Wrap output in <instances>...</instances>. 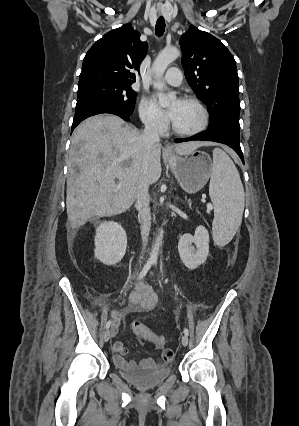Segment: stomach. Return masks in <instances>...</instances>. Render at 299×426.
<instances>
[{
    "label": "stomach",
    "mask_w": 299,
    "mask_h": 426,
    "mask_svg": "<svg viewBox=\"0 0 299 426\" xmlns=\"http://www.w3.org/2000/svg\"><path fill=\"white\" fill-rule=\"evenodd\" d=\"M166 159L175 178L187 193L198 192L211 177L212 160L203 151L194 150L183 157L170 153Z\"/></svg>",
    "instance_id": "obj_1"
}]
</instances>
